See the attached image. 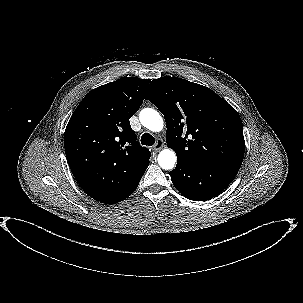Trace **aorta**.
<instances>
[{"label": "aorta", "instance_id": "obj_1", "mask_svg": "<svg viewBox=\"0 0 303 303\" xmlns=\"http://www.w3.org/2000/svg\"><path fill=\"white\" fill-rule=\"evenodd\" d=\"M141 124L153 132H160L164 127L161 115L152 108H145L139 114ZM158 164L164 170L173 169L177 161L176 154L171 149H164L158 155Z\"/></svg>", "mask_w": 303, "mask_h": 303}]
</instances>
